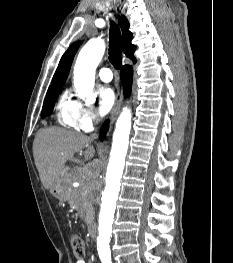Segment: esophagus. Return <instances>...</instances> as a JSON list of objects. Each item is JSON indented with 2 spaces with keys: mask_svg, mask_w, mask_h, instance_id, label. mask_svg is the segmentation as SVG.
Masks as SVG:
<instances>
[{
  "mask_svg": "<svg viewBox=\"0 0 233 263\" xmlns=\"http://www.w3.org/2000/svg\"><path fill=\"white\" fill-rule=\"evenodd\" d=\"M122 99H123V90H122V86H120L118 88L117 94H116V102L115 105L110 113L109 116V120H110V126L113 124V122L115 121L117 114L120 110V106L122 103Z\"/></svg>",
  "mask_w": 233,
  "mask_h": 263,
  "instance_id": "1",
  "label": "esophagus"
}]
</instances>
